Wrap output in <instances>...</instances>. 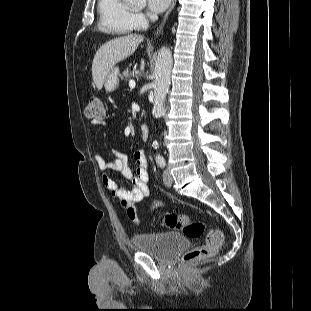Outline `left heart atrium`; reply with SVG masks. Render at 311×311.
<instances>
[{"mask_svg": "<svg viewBox=\"0 0 311 311\" xmlns=\"http://www.w3.org/2000/svg\"><path fill=\"white\" fill-rule=\"evenodd\" d=\"M171 0H147V6L150 12L160 13L170 4Z\"/></svg>", "mask_w": 311, "mask_h": 311, "instance_id": "39dd6f15", "label": "left heart atrium"}]
</instances>
